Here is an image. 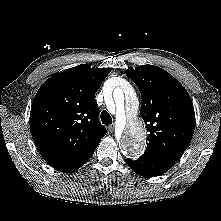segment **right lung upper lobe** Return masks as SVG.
I'll use <instances>...</instances> for the list:
<instances>
[{
	"label": "right lung upper lobe",
	"mask_w": 221,
	"mask_h": 221,
	"mask_svg": "<svg viewBox=\"0 0 221 221\" xmlns=\"http://www.w3.org/2000/svg\"><path fill=\"white\" fill-rule=\"evenodd\" d=\"M110 71L82 64L55 74L39 88L30 129L38 151L53 168L98 146L106 135L94 96Z\"/></svg>",
	"instance_id": "obj_1"
}]
</instances>
